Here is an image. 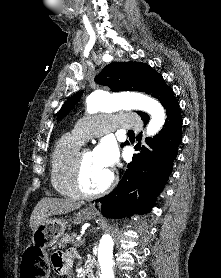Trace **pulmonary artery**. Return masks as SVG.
<instances>
[{
  "label": "pulmonary artery",
  "instance_id": "obj_1",
  "mask_svg": "<svg viewBox=\"0 0 221 278\" xmlns=\"http://www.w3.org/2000/svg\"><path fill=\"white\" fill-rule=\"evenodd\" d=\"M118 129H140L142 121L136 115H110L101 116L78 122L72 130V134L81 141L98 137L104 133Z\"/></svg>",
  "mask_w": 221,
  "mask_h": 278
}]
</instances>
